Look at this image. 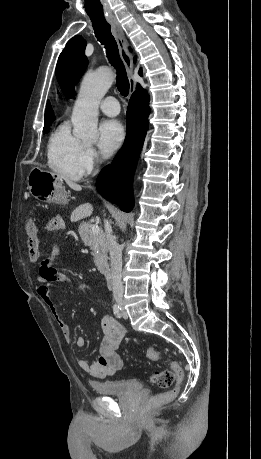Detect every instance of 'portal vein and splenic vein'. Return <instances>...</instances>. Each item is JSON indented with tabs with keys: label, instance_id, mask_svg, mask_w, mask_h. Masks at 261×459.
<instances>
[{
	"label": "portal vein and splenic vein",
	"instance_id": "18ae733b",
	"mask_svg": "<svg viewBox=\"0 0 261 459\" xmlns=\"http://www.w3.org/2000/svg\"><path fill=\"white\" fill-rule=\"evenodd\" d=\"M92 234H98L100 232V228L97 224L92 225L91 227Z\"/></svg>",
	"mask_w": 261,
	"mask_h": 459
}]
</instances>
